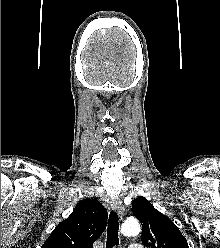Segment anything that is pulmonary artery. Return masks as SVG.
Instances as JSON below:
<instances>
[{
  "label": "pulmonary artery",
  "mask_w": 220,
  "mask_h": 248,
  "mask_svg": "<svg viewBox=\"0 0 220 248\" xmlns=\"http://www.w3.org/2000/svg\"><path fill=\"white\" fill-rule=\"evenodd\" d=\"M129 248H142V246L139 244H131Z\"/></svg>",
  "instance_id": "e3ab8cb5"
}]
</instances>
